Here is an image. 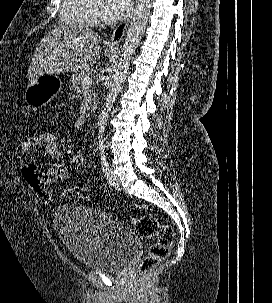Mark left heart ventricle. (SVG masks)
I'll use <instances>...</instances> for the list:
<instances>
[{"label": "left heart ventricle", "instance_id": "left-heart-ventricle-1", "mask_svg": "<svg viewBox=\"0 0 272 303\" xmlns=\"http://www.w3.org/2000/svg\"><path fill=\"white\" fill-rule=\"evenodd\" d=\"M94 4L101 9L103 7V0H94Z\"/></svg>", "mask_w": 272, "mask_h": 303}]
</instances>
